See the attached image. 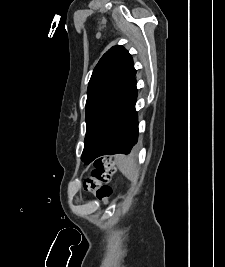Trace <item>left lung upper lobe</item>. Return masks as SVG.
I'll use <instances>...</instances> for the list:
<instances>
[{
  "instance_id": "1",
  "label": "left lung upper lobe",
  "mask_w": 225,
  "mask_h": 267,
  "mask_svg": "<svg viewBox=\"0 0 225 267\" xmlns=\"http://www.w3.org/2000/svg\"><path fill=\"white\" fill-rule=\"evenodd\" d=\"M135 74L131 55L120 45L108 50L93 70L87 90V129L81 156L85 164L97 158Z\"/></svg>"
}]
</instances>
